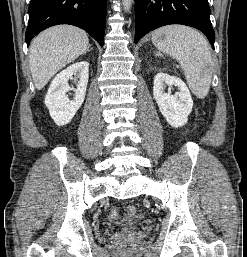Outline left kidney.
<instances>
[{"mask_svg":"<svg viewBox=\"0 0 247 257\" xmlns=\"http://www.w3.org/2000/svg\"><path fill=\"white\" fill-rule=\"evenodd\" d=\"M153 84V97L167 122L175 128L185 125L193 107V100L186 84L166 73H158ZM167 86H175L179 92L174 95L167 93Z\"/></svg>","mask_w":247,"mask_h":257,"instance_id":"1","label":"left kidney"}]
</instances>
